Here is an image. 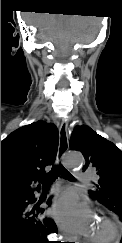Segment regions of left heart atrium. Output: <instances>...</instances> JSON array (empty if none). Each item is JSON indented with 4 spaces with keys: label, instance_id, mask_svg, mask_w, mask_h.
<instances>
[{
    "label": "left heart atrium",
    "instance_id": "39dd6f15",
    "mask_svg": "<svg viewBox=\"0 0 122 243\" xmlns=\"http://www.w3.org/2000/svg\"><path fill=\"white\" fill-rule=\"evenodd\" d=\"M52 213L63 227L72 233L88 234L91 231L93 212L87 204L80 203L73 195L59 199Z\"/></svg>",
    "mask_w": 122,
    "mask_h": 243
}]
</instances>
